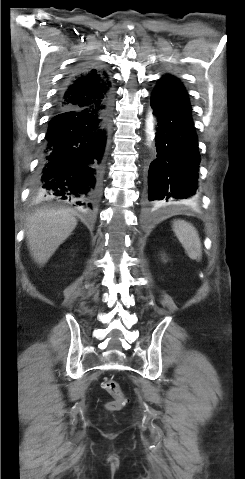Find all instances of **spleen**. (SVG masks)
Segmentation results:
<instances>
[{
    "label": "spleen",
    "mask_w": 245,
    "mask_h": 479,
    "mask_svg": "<svg viewBox=\"0 0 245 479\" xmlns=\"http://www.w3.org/2000/svg\"><path fill=\"white\" fill-rule=\"evenodd\" d=\"M173 231L192 260L200 261L202 257L201 241L195 227L184 220L173 222Z\"/></svg>",
    "instance_id": "1"
}]
</instances>
